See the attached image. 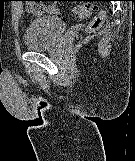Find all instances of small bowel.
<instances>
[{"label":"small bowel","mask_w":135,"mask_h":161,"mask_svg":"<svg viewBox=\"0 0 135 161\" xmlns=\"http://www.w3.org/2000/svg\"><path fill=\"white\" fill-rule=\"evenodd\" d=\"M26 5H27V8L28 10L32 11V12H35V13H40L41 11L40 10H36L32 7V2L31 1H26ZM47 11H50V12H53V13H56L57 12V9L55 6H50L47 8Z\"/></svg>","instance_id":"1"}]
</instances>
